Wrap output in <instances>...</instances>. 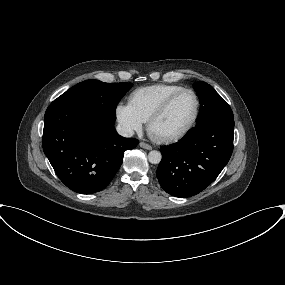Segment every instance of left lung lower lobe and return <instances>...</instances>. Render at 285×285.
I'll return each mask as SVG.
<instances>
[{
	"label": "left lung lower lobe",
	"instance_id": "obj_1",
	"mask_svg": "<svg viewBox=\"0 0 285 285\" xmlns=\"http://www.w3.org/2000/svg\"><path fill=\"white\" fill-rule=\"evenodd\" d=\"M234 117H214L196 124L179 142L160 149L156 175L170 195L190 197L207 188L233 151Z\"/></svg>",
	"mask_w": 285,
	"mask_h": 285
}]
</instances>
